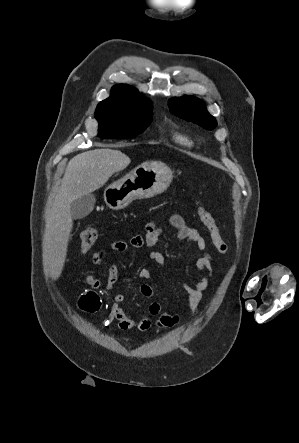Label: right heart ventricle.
Listing matches in <instances>:
<instances>
[{
    "label": "right heart ventricle",
    "mask_w": 299,
    "mask_h": 443,
    "mask_svg": "<svg viewBox=\"0 0 299 443\" xmlns=\"http://www.w3.org/2000/svg\"><path fill=\"white\" fill-rule=\"evenodd\" d=\"M171 135L173 141L182 147H191L193 145V141L185 133H182L180 131H173Z\"/></svg>",
    "instance_id": "obj_1"
}]
</instances>
